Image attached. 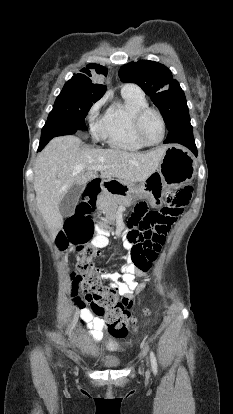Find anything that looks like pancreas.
Instances as JSON below:
<instances>
[{
	"label": "pancreas",
	"instance_id": "pancreas-1",
	"mask_svg": "<svg viewBox=\"0 0 233 414\" xmlns=\"http://www.w3.org/2000/svg\"><path fill=\"white\" fill-rule=\"evenodd\" d=\"M123 199L119 196H111L103 194L100 198V209L110 219H115L118 204L122 203Z\"/></svg>",
	"mask_w": 233,
	"mask_h": 414
}]
</instances>
